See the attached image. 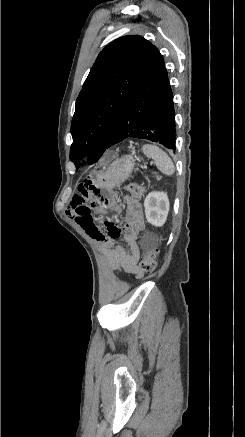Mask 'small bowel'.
Instances as JSON below:
<instances>
[{"mask_svg":"<svg viewBox=\"0 0 245 437\" xmlns=\"http://www.w3.org/2000/svg\"><path fill=\"white\" fill-rule=\"evenodd\" d=\"M103 160L109 163L114 153L112 150H105ZM102 162L104 166L106 163ZM79 191L75 195L67 209V214L75 220L82 230L92 239L97 241L104 250L110 266L117 274L122 272L132 274L136 277L142 275L139 267L140 251L137 243L138 235L144 229L143 209L139 203L128 201L126 204L119 205L115 202L109 191H100L102 199L113 205L118 212H124L125 223L122 228L118 227L115 222L106 221L107 235L103 234L98 225L94 222L91 215L92 209L101 205V199L95 198L91 203H86L85 199L90 192H94L96 186L90 178L85 179L77 186ZM123 239L129 246L126 250L118 243Z\"/></svg>","mask_w":245,"mask_h":437,"instance_id":"1","label":"small bowel"}]
</instances>
